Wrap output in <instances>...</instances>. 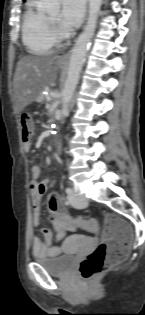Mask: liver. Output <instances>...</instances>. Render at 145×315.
I'll return each instance as SVG.
<instances>
[{"mask_svg": "<svg viewBox=\"0 0 145 315\" xmlns=\"http://www.w3.org/2000/svg\"><path fill=\"white\" fill-rule=\"evenodd\" d=\"M60 66L58 55H27L18 61L13 81L14 113H20L38 99L45 86L55 82Z\"/></svg>", "mask_w": 145, "mask_h": 315, "instance_id": "liver-1", "label": "liver"}]
</instances>
